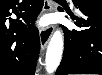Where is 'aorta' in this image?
Masks as SVG:
<instances>
[{
	"instance_id": "aorta-1",
	"label": "aorta",
	"mask_w": 102,
	"mask_h": 75,
	"mask_svg": "<svg viewBox=\"0 0 102 75\" xmlns=\"http://www.w3.org/2000/svg\"><path fill=\"white\" fill-rule=\"evenodd\" d=\"M63 53V35L60 30H57L48 45L46 52V72L53 73L60 64Z\"/></svg>"
}]
</instances>
